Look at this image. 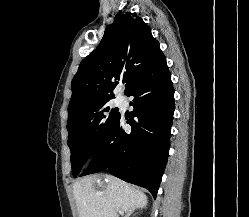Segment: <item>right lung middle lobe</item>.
I'll use <instances>...</instances> for the list:
<instances>
[{"label":"right lung middle lobe","instance_id":"right-lung-middle-lobe-1","mask_svg":"<svg viewBox=\"0 0 249 217\" xmlns=\"http://www.w3.org/2000/svg\"><path fill=\"white\" fill-rule=\"evenodd\" d=\"M109 101L110 99L94 103L68 117L67 143L71 150L74 177L80 175L120 116L117 108L109 106Z\"/></svg>","mask_w":249,"mask_h":217}]
</instances>
